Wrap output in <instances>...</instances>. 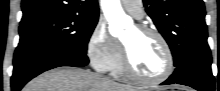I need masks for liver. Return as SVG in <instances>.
<instances>
[{
  "instance_id": "liver-1",
  "label": "liver",
  "mask_w": 220,
  "mask_h": 91,
  "mask_svg": "<svg viewBox=\"0 0 220 91\" xmlns=\"http://www.w3.org/2000/svg\"><path fill=\"white\" fill-rule=\"evenodd\" d=\"M22 91H137L97 73L63 66L42 73L31 80Z\"/></svg>"
}]
</instances>
